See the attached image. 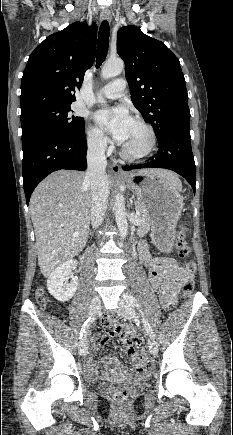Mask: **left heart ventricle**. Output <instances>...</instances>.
Segmentation results:
<instances>
[{"instance_id": "obj_1", "label": "left heart ventricle", "mask_w": 233, "mask_h": 435, "mask_svg": "<svg viewBox=\"0 0 233 435\" xmlns=\"http://www.w3.org/2000/svg\"><path fill=\"white\" fill-rule=\"evenodd\" d=\"M149 142L147 131L141 125L133 122L122 146L130 153L143 151Z\"/></svg>"}]
</instances>
